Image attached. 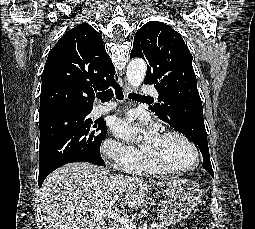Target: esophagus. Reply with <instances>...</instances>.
Returning a JSON list of instances; mask_svg holds the SVG:
<instances>
[{"label": "esophagus", "mask_w": 255, "mask_h": 229, "mask_svg": "<svg viewBox=\"0 0 255 229\" xmlns=\"http://www.w3.org/2000/svg\"><path fill=\"white\" fill-rule=\"evenodd\" d=\"M123 91L125 95H128L129 93H131L133 91V89L131 88V86L125 82L124 86H123Z\"/></svg>", "instance_id": "esophagus-1"}]
</instances>
